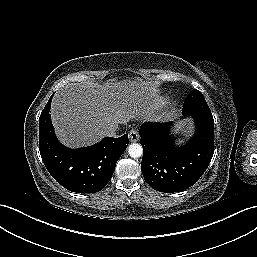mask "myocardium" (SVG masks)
Here are the masks:
<instances>
[{
	"instance_id": "1",
	"label": "myocardium",
	"mask_w": 257,
	"mask_h": 257,
	"mask_svg": "<svg viewBox=\"0 0 257 257\" xmlns=\"http://www.w3.org/2000/svg\"><path fill=\"white\" fill-rule=\"evenodd\" d=\"M176 105H177V103L174 102V103L170 106L169 110H168L167 113H166V117H170V116L174 113V111H175V109H176Z\"/></svg>"
}]
</instances>
